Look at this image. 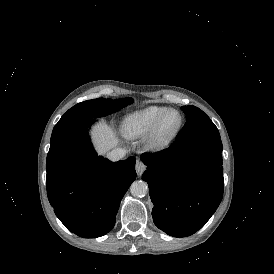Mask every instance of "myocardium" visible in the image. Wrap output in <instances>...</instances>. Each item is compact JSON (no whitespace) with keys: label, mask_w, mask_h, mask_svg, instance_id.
I'll return each mask as SVG.
<instances>
[{"label":"myocardium","mask_w":274,"mask_h":274,"mask_svg":"<svg viewBox=\"0 0 274 274\" xmlns=\"http://www.w3.org/2000/svg\"><path fill=\"white\" fill-rule=\"evenodd\" d=\"M178 113L181 117L180 125L176 130L170 133L163 132V126L167 118L173 114ZM185 125V115L178 109L167 110L157 124L146 134L143 140L144 148L149 153H159L164 151L172 141L180 134Z\"/></svg>","instance_id":"1"}]
</instances>
